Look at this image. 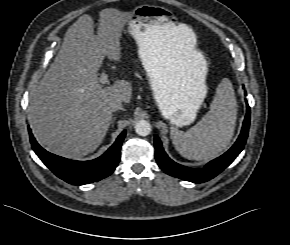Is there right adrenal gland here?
I'll use <instances>...</instances> for the list:
<instances>
[{"label": "right adrenal gland", "instance_id": "1", "mask_svg": "<svg viewBox=\"0 0 290 245\" xmlns=\"http://www.w3.org/2000/svg\"><path fill=\"white\" fill-rule=\"evenodd\" d=\"M116 117H113L112 121H111V126L113 127L114 126V121H115Z\"/></svg>", "mask_w": 290, "mask_h": 245}]
</instances>
